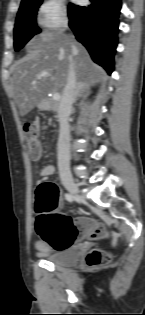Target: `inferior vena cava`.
Here are the masks:
<instances>
[{
  "label": "inferior vena cava",
  "instance_id": "obj_1",
  "mask_svg": "<svg viewBox=\"0 0 145 315\" xmlns=\"http://www.w3.org/2000/svg\"><path fill=\"white\" fill-rule=\"evenodd\" d=\"M76 88V71L73 62H70L66 85L58 107L60 130L57 143V161L61 180L72 178L70 172V131L68 118L72 111Z\"/></svg>",
  "mask_w": 145,
  "mask_h": 315
}]
</instances>
